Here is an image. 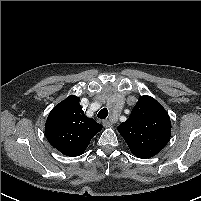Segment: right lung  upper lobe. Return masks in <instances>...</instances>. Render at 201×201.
<instances>
[{
	"label": "right lung upper lobe",
	"instance_id": "1",
	"mask_svg": "<svg viewBox=\"0 0 201 201\" xmlns=\"http://www.w3.org/2000/svg\"><path fill=\"white\" fill-rule=\"evenodd\" d=\"M102 125L85 116L79 97L69 96L50 112L45 135L49 143L67 156L82 154Z\"/></svg>",
	"mask_w": 201,
	"mask_h": 201
}]
</instances>
